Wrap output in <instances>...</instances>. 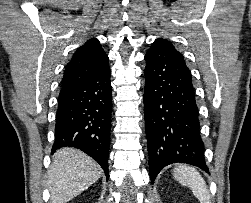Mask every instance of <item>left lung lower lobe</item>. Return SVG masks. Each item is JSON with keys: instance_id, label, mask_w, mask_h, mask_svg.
I'll list each match as a JSON object with an SVG mask.
<instances>
[{"instance_id": "1", "label": "left lung lower lobe", "mask_w": 251, "mask_h": 203, "mask_svg": "<svg viewBox=\"0 0 251 203\" xmlns=\"http://www.w3.org/2000/svg\"><path fill=\"white\" fill-rule=\"evenodd\" d=\"M144 59V115L151 182L171 163H188L209 172L192 75L183 55L169 41L156 39Z\"/></svg>"}]
</instances>
